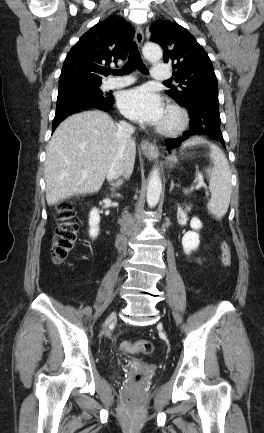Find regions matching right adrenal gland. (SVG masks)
Returning <instances> with one entry per match:
<instances>
[{"instance_id": "1", "label": "right adrenal gland", "mask_w": 264, "mask_h": 433, "mask_svg": "<svg viewBox=\"0 0 264 433\" xmlns=\"http://www.w3.org/2000/svg\"><path fill=\"white\" fill-rule=\"evenodd\" d=\"M122 184H123V180H122V179H119L118 181H116V182L113 183V188H112V190L114 191L115 188L120 187Z\"/></svg>"}]
</instances>
